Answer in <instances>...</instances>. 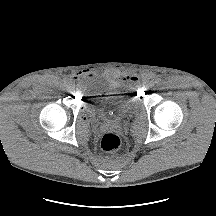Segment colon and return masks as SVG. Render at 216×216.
I'll list each match as a JSON object with an SVG mask.
<instances>
[{"label":"colon","mask_w":216,"mask_h":216,"mask_svg":"<svg viewBox=\"0 0 216 216\" xmlns=\"http://www.w3.org/2000/svg\"><path fill=\"white\" fill-rule=\"evenodd\" d=\"M121 145L120 137L115 133H106L101 139V148L104 151H115Z\"/></svg>","instance_id":"colon-1"}]
</instances>
